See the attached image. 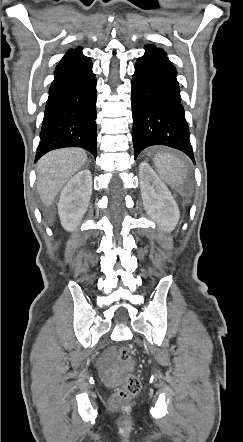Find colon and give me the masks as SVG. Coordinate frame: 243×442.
<instances>
[{"label":"colon","mask_w":243,"mask_h":442,"mask_svg":"<svg viewBox=\"0 0 243 442\" xmlns=\"http://www.w3.org/2000/svg\"><path fill=\"white\" fill-rule=\"evenodd\" d=\"M132 358V351L128 347H122L117 354V360L120 365L126 364ZM141 388V382L139 378L134 374H128L124 379V384L119 388L112 401V405L133 398Z\"/></svg>","instance_id":"1"}]
</instances>
